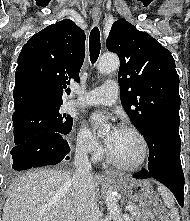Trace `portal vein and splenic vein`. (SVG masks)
Returning <instances> with one entry per match:
<instances>
[{
  "mask_svg": "<svg viewBox=\"0 0 190 221\" xmlns=\"http://www.w3.org/2000/svg\"><path fill=\"white\" fill-rule=\"evenodd\" d=\"M134 209V207L132 205H127L126 206V210L132 211Z\"/></svg>",
  "mask_w": 190,
  "mask_h": 221,
  "instance_id": "portal-vein-and-splenic-vein-1",
  "label": "portal vein and splenic vein"
}]
</instances>
